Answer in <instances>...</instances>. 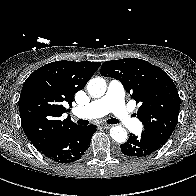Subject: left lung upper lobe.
I'll return each mask as SVG.
<instances>
[{
    "mask_svg": "<svg viewBox=\"0 0 196 196\" xmlns=\"http://www.w3.org/2000/svg\"><path fill=\"white\" fill-rule=\"evenodd\" d=\"M101 75L119 80L141 106L137 118L144 125L142 134L164 145L174 131L180 97L173 80L159 67L136 58L107 61Z\"/></svg>",
    "mask_w": 196,
    "mask_h": 196,
    "instance_id": "5c2ea615",
    "label": "left lung upper lobe"
}]
</instances>
